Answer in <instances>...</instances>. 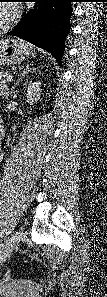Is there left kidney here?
<instances>
[{
	"label": "left kidney",
	"instance_id": "obj_1",
	"mask_svg": "<svg viewBox=\"0 0 107 297\" xmlns=\"http://www.w3.org/2000/svg\"><path fill=\"white\" fill-rule=\"evenodd\" d=\"M40 86H41L40 81L34 82L28 86L27 94H26L28 103L33 104L40 99V96H41Z\"/></svg>",
	"mask_w": 107,
	"mask_h": 297
}]
</instances>
